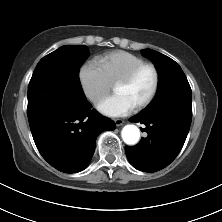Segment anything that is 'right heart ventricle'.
I'll return each mask as SVG.
<instances>
[{
  "label": "right heart ventricle",
  "mask_w": 222,
  "mask_h": 222,
  "mask_svg": "<svg viewBox=\"0 0 222 222\" xmlns=\"http://www.w3.org/2000/svg\"><path fill=\"white\" fill-rule=\"evenodd\" d=\"M98 63L110 82L115 84L135 67L145 63V61L132 53L118 50L100 57Z\"/></svg>",
  "instance_id": "e07e8e85"
}]
</instances>
